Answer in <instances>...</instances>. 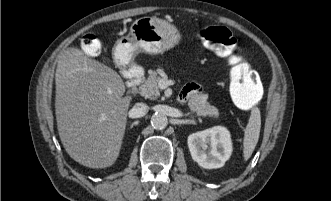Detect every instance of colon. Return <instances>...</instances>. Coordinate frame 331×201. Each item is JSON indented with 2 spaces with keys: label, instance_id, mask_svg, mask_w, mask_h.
<instances>
[{
  "label": "colon",
  "instance_id": "1",
  "mask_svg": "<svg viewBox=\"0 0 331 201\" xmlns=\"http://www.w3.org/2000/svg\"><path fill=\"white\" fill-rule=\"evenodd\" d=\"M198 36L202 43L221 57L228 59L230 69V93L234 103L243 110L254 108L261 99L263 88L259 76L247 62L236 53V39L229 29L223 26L202 28ZM82 49L89 56L101 52V44L93 34L82 40Z\"/></svg>",
  "mask_w": 331,
  "mask_h": 201
}]
</instances>
